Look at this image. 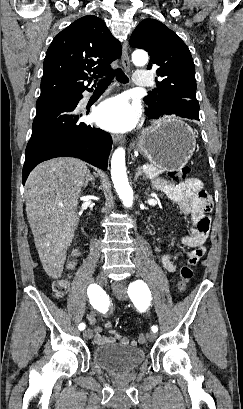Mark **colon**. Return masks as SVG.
Returning a JSON list of instances; mask_svg holds the SVG:
<instances>
[{"label":"colon","mask_w":243,"mask_h":409,"mask_svg":"<svg viewBox=\"0 0 243 409\" xmlns=\"http://www.w3.org/2000/svg\"><path fill=\"white\" fill-rule=\"evenodd\" d=\"M190 175V168L185 166L169 173V176L172 180L180 181L186 179ZM192 181H196V178H193ZM193 276L192 268L189 265H183L180 269V279L178 282V290L179 292L183 293L186 291L188 283ZM68 282L64 279H59L54 282L52 290L54 295L57 298H62L68 291ZM139 343L143 344L146 342V336L144 334H140L138 336Z\"/></svg>","instance_id":"colon-1"}]
</instances>
